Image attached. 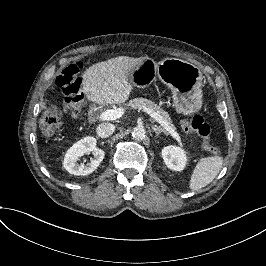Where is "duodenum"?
<instances>
[{"label": "duodenum", "mask_w": 266, "mask_h": 266, "mask_svg": "<svg viewBox=\"0 0 266 266\" xmlns=\"http://www.w3.org/2000/svg\"><path fill=\"white\" fill-rule=\"evenodd\" d=\"M90 113H91V116H92L93 118H95L96 115H97V113H96V109H95V108H92Z\"/></svg>", "instance_id": "410a0bca"}]
</instances>
